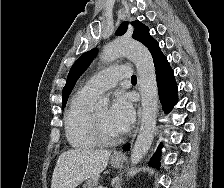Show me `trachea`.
Returning a JSON list of instances; mask_svg holds the SVG:
<instances>
[{
  "label": "trachea",
  "instance_id": "1",
  "mask_svg": "<svg viewBox=\"0 0 224 188\" xmlns=\"http://www.w3.org/2000/svg\"><path fill=\"white\" fill-rule=\"evenodd\" d=\"M131 81H132V82H137V78H136L135 75H132V77H131Z\"/></svg>",
  "mask_w": 224,
  "mask_h": 188
}]
</instances>
